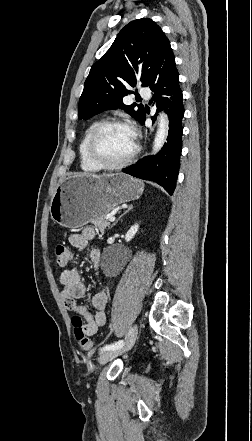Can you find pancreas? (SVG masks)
Returning <instances> with one entry per match:
<instances>
[{
	"label": "pancreas",
	"instance_id": "1",
	"mask_svg": "<svg viewBox=\"0 0 252 441\" xmlns=\"http://www.w3.org/2000/svg\"><path fill=\"white\" fill-rule=\"evenodd\" d=\"M91 223L101 232L104 233L105 229L107 227H110V222L108 220H105L103 218L92 220Z\"/></svg>",
	"mask_w": 252,
	"mask_h": 441
}]
</instances>
